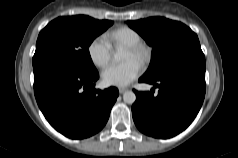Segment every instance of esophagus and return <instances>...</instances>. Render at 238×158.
Here are the masks:
<instances>
[{
    "instance_id": "34e87169",
    "label": "esophagus",
    "mask_w": 238,
    "mask_h": 158,
    "mask_svg": "<svg viewBox=\"0 0 238 158\" xmlns=\"http://www.w3.org/2000/svg\"><path fill=\"white\" fill-rule=\"evenodd\" d=\"M126 91H127V88H119V93L120 94H123Z\"/></svg>"
}]
</instances>
